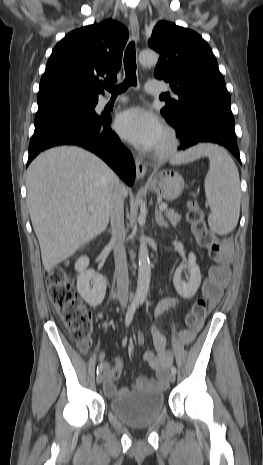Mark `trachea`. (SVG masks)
<instances>
[{
  "instance_id": "obj_1",
  "label": "trachea",
  "mask_w": 263,
  "mask_h": 465,
  "mask_svg": "<svg viewBox=\"0 0 263 465\" xmlns=\"http://www.w3.org/2000/svg\"><path fill=\"white\" fill-rule=\"evenodd\" d=\"M125 80L118 86L105 85L104 87L111 92L112 96L127 90L131 85H137L136 78V51L135 43L132 41L128 44L124 54Z\"/></svg>"
}]
</instances>
